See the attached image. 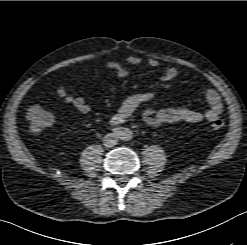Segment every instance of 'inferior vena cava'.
I'll return each mask as SVG.
<instances>
[{
    "instance_id": "obj_1",
    "label": "inferior vena cava",
    "mask_w": 247,
    "mask_h": 245,
    "mask_svg": "<svg viewBox=\"0 0 247 245\" xmlns=\"http://www.w3.org/2000/svg\"><path fill=\"white\" fill-rule=\"evenodd\" d=\"M117 142H118V138L113 133H108L104 137V145L106 147H112V146L116 145Z\"/></svg>"
}]
</instances>
